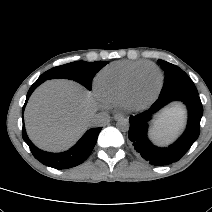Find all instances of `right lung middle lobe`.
Listing matches in <instances>:
<instances>
[{
  "label": "right lung middle lobe",
  "instance_id": "dd1d6c3e",
  "mask_svg": "<svg viewBox=\"0 0 212 212\" xmlns=\"http://www.w3.org/2000/svg\"><path fill=\"white\" fill-rule=\"evenodd\" d=\"M107 64L106 61L86 62L76 61L61 66L54 67L39 78L44 80L54 78H65L77 81L78 83L91 90L92 79L95 74Z\"/></svg>",
  "mask_w": 212,
  "mask_h": 212
}]
</instances>
